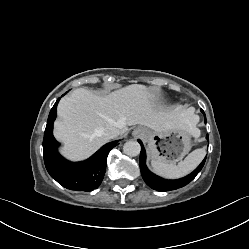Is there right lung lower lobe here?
<instances>
[{
    "mask_svg": "<svg viewBox=\"0 0 249 249\" xmlns=\"http://www.w3.org/2000/svg\"><path fill=\"white\" fill-rule=\"evenodd\" d=\"M52 107L43 139L44 163L50 176L63 187L76 191H92L101 184L107 156L118 141L110 142L101 147L89 159L73 163L64 159L57 151L58 143L53 136V122L57 114V104Z\"/></svg>",
    "mask_w": 249,
    "mask_h": 249,
    "instance_id": "1",
    "label": "right lung lower lobe"
}]
</instances>
